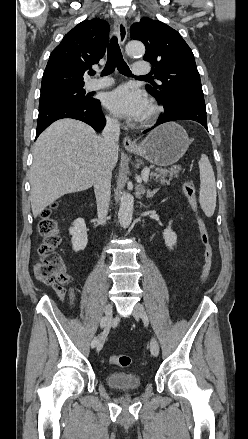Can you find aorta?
<instances>
[{"label":"aorta","mask_w":248,"mask_h":439,"mask_svg":"<svg viewBox=\"0 0 248 439\" xmlns=\"http://www.w3.org/2000/svg\"><path fill=\"white\" fill-rule=\"evenodd\" d=\"M126 53L129 56H143L145 53V47L143 43L139 41H130L125 47ZM134 210V198L128 192H123L120 197V207L118 211V220L123 228H127L133 217Z\"/></svg>","instance_id":"obj_1"}]
</instances>
